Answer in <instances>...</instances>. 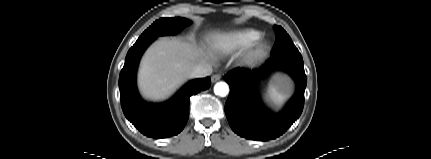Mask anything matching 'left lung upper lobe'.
I'll use <instances>...</instances> for the list:
<instances>
[{
    "label": "left lung upper lobe",
    "mask_w": 431,
    "mask_h": 159,
    "mask_svg": "<svg viewBox=\"0 0 431 159\" xmlns=\"http://www.w3.org/2000/svg\"><path fill=\"white\" fill-rule=\"evenodd\" d=\"M274 28L276 31V43L271 52V57L302 58L287 32L280 26H274Z\"/></svg>",
    "instance_id": "5c2ea615"
}]
</instances>
